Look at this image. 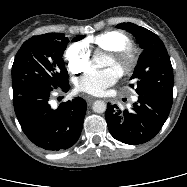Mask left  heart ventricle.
Instances as JSON below:
<instances>
[{
	"label": "left heart ventricle",
	"instance_id": "b2bd125f",
	"mask_svg": "<svg viewBox=\"0 0 187 187\" xmlns=\"http://www.w3.org/2000/svg\"><path fill=\"white\" fill-rule=\"evenodd\" d=\"M106 66L114 67L120 71V65L111 56L108 57Z\"/></svg>",
	"mask_w": 187,
	"mask_h": 187
}]
</instances>
